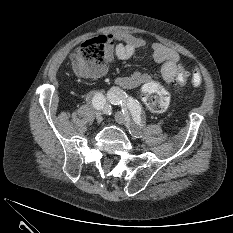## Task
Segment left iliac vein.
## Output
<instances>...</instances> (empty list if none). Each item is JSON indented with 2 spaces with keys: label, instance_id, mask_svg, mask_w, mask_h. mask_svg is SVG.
Wrapping results in <instances>:
<instances>
[{
  "label": "left iliac vein",
  "instance_id": "1",
  "mask_svg": "<svg viewBox=\"0 0 233 233\" xmlns=\"http://www.w3.org/2000/svg\"><path fill=\"white\" fill-rule=\"evenodd\" d=\"M115 120L121 124L127 127L130 134L136 138H139L142 136L141 129L131 120V118L128 115H124L121 112L115 113Z\"/></svg>",
  "mask_w": 233,
  "mask_h": 233
}]
</instances>
